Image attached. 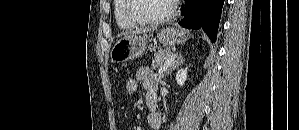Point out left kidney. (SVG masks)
Listing matches in <instances>:
<instances>
[{"label": "left kidney", "mask_w": 299, "mask_h": 130, "mask_svg": "<svg viewBox=\"0 0 299 130\" xmlns=\"http://www.w3.org/2000/svg\"><path fill=\"white\" fill-rule=\"evenodd\" d=\"M187 80V68L178 70L176 74V81L177 84L180 86H183L185 84V81Z\"/></svg>", "instance_id": "obj_1"}]
</instances>
